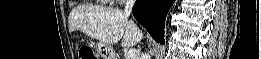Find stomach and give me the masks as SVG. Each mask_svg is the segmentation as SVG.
<instances>
[{
	"label": "stomach",
	"mask_w": 261,
	"mask_h": 59,
	"mask_svg": "<svg viewBox=\"0 0 261 59\" xmlns=\"http://www.w3.org/2000/svg\"><path fill=\"white\" fill-rule=\"evenodd\" d=\"M110 50L111 49L109 45L99 42L97 53L102 59H115Z\"/></svg>",
	"instance_id": "obj_1"
}]
</instances>
